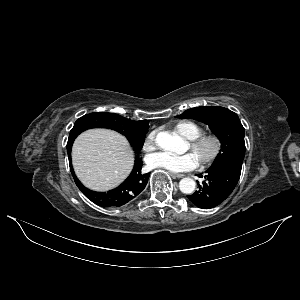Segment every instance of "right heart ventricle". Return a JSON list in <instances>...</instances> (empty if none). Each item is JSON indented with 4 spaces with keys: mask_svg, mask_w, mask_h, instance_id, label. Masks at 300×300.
Segmentation results:
<instances>
[{
    "mask_svg": "<svg viewBox=\"0 0 300 300\" xmlns=\"http://www.w3.org/2000/svg\"><path fill=\"white\" fill-rule=\"evenodd\" d=\"M174 130L187 139H193L203 132V129L198 124L187 120L176 123Z\"/></svg>",
    "mask_w": 300,
    "mask_h": 300,
    "instance_id": "right-heart-ventricle-1",
    "label": "right heart ventricle"
}]
</instances>
